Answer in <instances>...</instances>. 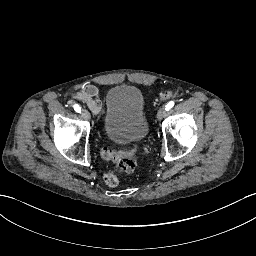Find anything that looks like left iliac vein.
Wrapping results in <instances>:
<instances>
[{
	"label": "left iliac vein",
	"instance_id": "4c4485c4",
	"mask_svg": "<svg viewBox=\"0 0 256 256\" xmlns=\"http://www.w3.org/2000/svg\"><path fill=\"white\" fill-rule=\"evenodd\" d=\"M166 108L165 107H161L159 110H158V112H157V119L158 120H161V119H163L164 117H165V115H166Z\"/></svg>",
	"mask_w": 256,
	"mask_h": 256
}]
</instances>
